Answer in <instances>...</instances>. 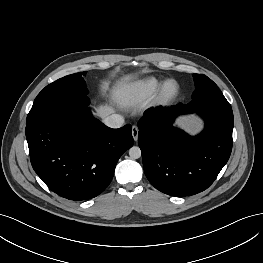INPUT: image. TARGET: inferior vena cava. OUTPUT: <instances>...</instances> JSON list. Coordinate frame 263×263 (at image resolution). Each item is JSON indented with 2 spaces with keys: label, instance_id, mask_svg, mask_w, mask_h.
I'll return each instance as SVG.
<instances>
[{
  "label": "inferior vena cava",
  "instance_id": "inferior-vena-cava-1",
  "mask_svg": "<svg viewBox=\"0 0 263 263\" xmlns=\"http://www.w3.org/2000/svg\"><path fill=\"white\" fill-rule=\"evenodd\" d=\"M104 124L110 128L117 129L123 126L124 118L119 114H112L104 119Z\"/></svg>",
  "mask_w": 263,
  "mask_h": 263
}]
</instances>
